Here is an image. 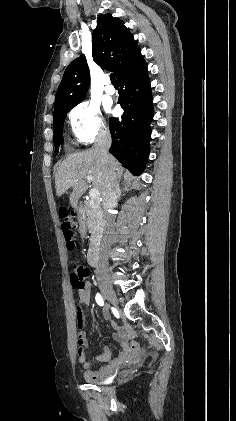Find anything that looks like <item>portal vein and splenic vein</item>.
<instances>
[{
    "mask_svg": "<svg viewBox=\"0 0 236 421\" xmlns=\"http://www.w3.org/2000/svg\"><path fill=\"white\" fill-rule=\"evenodd\" d=\"M86 180H89V182H91V180H93V176H86ZM99 194L100 192L99 190H97V188H91L89 192L90 204H98L100 198Z\"/></svg>",
    "mask_w": 236,
    "mask_h": 421,
    "instance_id": "portal-vein-and-splenic-vein-1",
    "label": "portal vein and splenic vein"
}]
</instances>
